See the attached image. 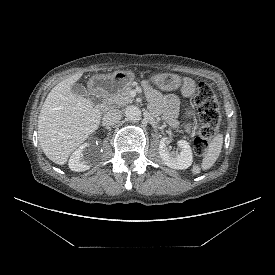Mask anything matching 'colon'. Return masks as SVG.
<instances>
[{
    "label": "colon",
    "mask_w": 275,
    "mask_h": 275,
    "mask_svg": "<svg viewBox=\"0 0 275 275\" xmlns=\"http://www.w3.org/2000/svg\"><path fill=\"white\" fill-rule=\"evenodd\" d=\"M195 102L200 114V126L194 139V151L203 157L207 153L210 140L218 131L221 113L213 89L205 82L199 83Z\"/></svg>",
    "instance_id": "obj_1"
}]
</instances>
